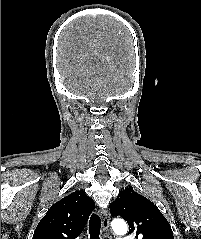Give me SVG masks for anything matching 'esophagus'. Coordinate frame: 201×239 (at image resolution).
I'll list each match as a JSON object with an SVG mask.
<instances>
[{
  "label": "esophagus",
  "mask_w": 201,
  "mask_h": 239,
  "mask_svg": "<svg viewBox=\"0 0 201 239\" xmlns=\"http://www.w3.org/2000/svg\"><path fill=\"white\" fill-rule=\"evenodd\" d=\"M100 215L102 218V226L104 231H108L109 229V223H110V214L107 209L101 210Z\"/></svg>",
  "instance_id": "34e87169"
}]
</instances>
